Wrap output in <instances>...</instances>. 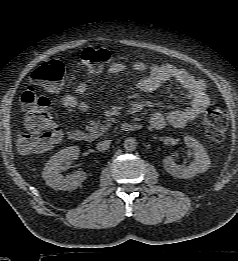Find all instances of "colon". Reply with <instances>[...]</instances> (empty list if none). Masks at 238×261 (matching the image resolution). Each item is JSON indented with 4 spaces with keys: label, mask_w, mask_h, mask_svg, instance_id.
Masks as SVG:
<instances>
[{
    "label": "colon",
    "mask_w": 238,
    "mask_h": 261,
    "mask_svg": "<svg viewBox=\"0 0 238 261\" xmlns=\"http://www.w3.org/2000/svg\"><path fill=\"white\" fill-rule=\"evenodd\" d=\"M110 52L101 47H91L83 51L81 59L92 72L99 71L110 61ZM65 74V67L58 59L45 61L31 75L33 85L21 97L26 131L17 136V147L25 154L42 153L49 150L61 138L60 129L50 114V101L41 95L35 86L56 90ZM207 136L214 141L223 139L228 123L227 110L219 104H212L203 119Z\"/></svg>",
    "instance_id": "obj_1"
}]
</instances>
